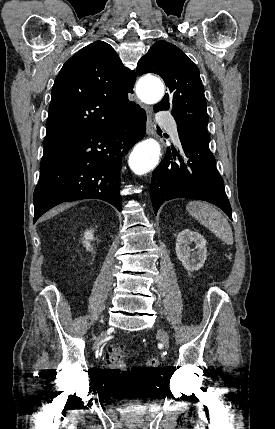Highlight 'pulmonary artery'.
<instances>
[{
    "mask_svg": "<svg viewBox=\"0 0 275 429\" xmlns=\"http://www.w3.org/2000/svg\"><path fill=\"white\" fill-rule=\"evenodd\" d=\"M158 121L160 124L168 128L174 142L179 145L180 140H179L178 130L174 120L166 114H160L158 117Z\"/></svg>",
    "mask_w": 275,
    "mask_h": 429,
    "instance_id": "pulmonary-artery-1",
    "label": "pulmonary artery"
}]
</instances>
